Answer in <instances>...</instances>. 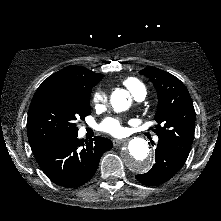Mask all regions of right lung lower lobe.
I'll return each mask as SVG.
<instances>
[{"mask_svg": "<svg viewBox=\"0 0 221 221\" xmlns=\"http://www.w3.org/2000/svg\"><path fill=\"white\" fill-rule=\"evenodd\" d=\"M78 132L62 135L31 146L44 173L63 187H79L95 174L102 154L113 147L112 141L96 136L79 140Z\"/></svg>", "mask_w": 221, "mask_h": 221, "instance_id": "1", "label": "right lung lower lobe"}]
</instances>
